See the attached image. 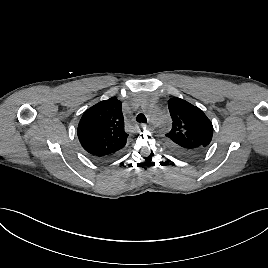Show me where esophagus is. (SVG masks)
Listing matches in <instances>:
<instances>
[{
	"label": "esophagus",
	"instance_id": "esophagus-1",
	"mask_svg": "<svg viewBox=\"0 0 268 268\" xmlns=\"http://www.w3.org/2000/svg\"><path fill=\"white\" fill-rule=\"evenodd\" d=\"M141 126H142L143 128H146V127H147V125H145V124H142Z\"/></svg>",
	"mask_w": 268,
	"mask_h": 268
}]
</instances>
